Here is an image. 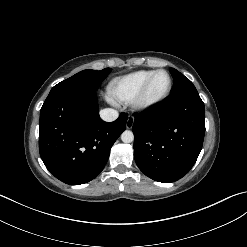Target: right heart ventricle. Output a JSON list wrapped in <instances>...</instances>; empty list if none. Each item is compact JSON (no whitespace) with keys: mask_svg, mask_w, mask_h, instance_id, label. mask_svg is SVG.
I'll return each mask as SVG.
<instances>
[{"mask_svg":"<svg viewBox=\"0 0 247 247\" xmlns=\"http://www.w3.org/2000/svg\"><path fill=\"white\" fill-rule=\"evenodd\" d=\"M154 71L155 70H140L117 77L110 82L109 92L114 98L121 102H133Z\"/></svg>","mask_w":247,"mask_h":247,"instance_id":"e07e8e85","label":"right heart ventricle"}]
</instances>
